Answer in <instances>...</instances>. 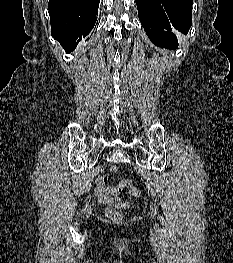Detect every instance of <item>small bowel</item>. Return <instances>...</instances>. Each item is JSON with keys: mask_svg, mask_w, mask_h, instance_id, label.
Here are the masks:
<instances>
[{"mask_svg": "<svg viewBox=\"0 0 233 263\" xmlns=\"http://www.w3.org/2000/svg\"><path fill=\"white\" fill-rule=\"evenodd\" d=\"M107 180L106 175H101L96 179L94 194L97 200L106 207H123L124 203L118 198L121 189L118 186H106Z\"/></svg>", "mask_w": 233, "mask_h": 263, "instance_id": "obj_1", "label": "small bowel"}]
</instances>
